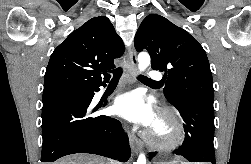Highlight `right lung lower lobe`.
Segmentation results:
<instances>
[{"label":"right lung lower lobe","mask_w":251,"mask_h":164,"mask_svg":"<svg viewBox=\"0 0 251 164\" xmlns=\"http://www.w3.org/2000/svg\"><path fill=\"white\" fill-rule=\"evenodd\" d=\"M105 86V83L100 85ZM80 98H56L43 102L41 162H54L74 153H91L126 162L128 136L121 123L105 115L94 116L90 104L99 87L84 89Z\"/></svg>","instance_id":"obj_1"}]
</instances>
